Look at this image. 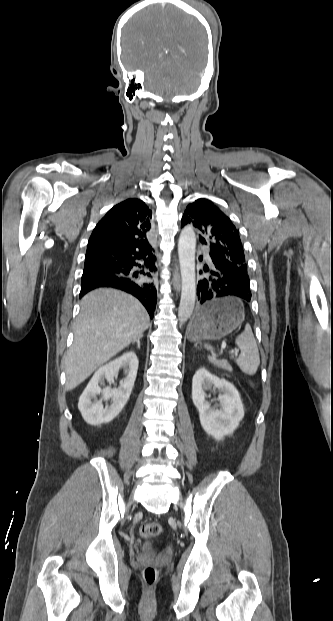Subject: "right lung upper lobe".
Masks as SVG:
<instances>
[{
    "mask_svg": "<svg viewBox=\"0 0 333 621\" xmlns=\"http://www.w3.org/2000/svg\"><path fill=\"white\" fill-rule=\"evenodd\" d=\"M151 215V210L140 199L130 198L115 205L94 228L86 257L150 249L146 233L151 228Z\"/></svg>",
    "mask_w": 333,
    "mask_h": 621,
    "instance_id": "right-lung-upper-lobe-1",
    "label": "right lung upper lobe"
}]
</instances>
